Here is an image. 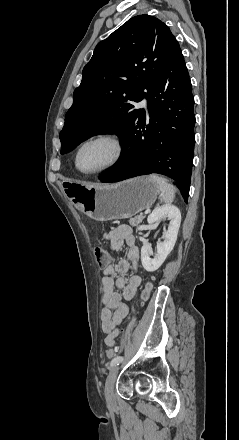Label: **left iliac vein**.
<instances>
[{
  "label": "left iliac vein",
  "mask_w": 239,
  "mask_h": 440,
  "mask_svg": "<svg viewBox=\"0 0 239 440\" xmlns=\"http://www.w3.org/2000/svg\"><path fill=\"white\" fill-rule=\"evenodd\" d=\"M118 366H113L107 376L106 383H105V389L104 394L107 403L114 407L116 405V400L114 396V384L118 375Z\"/></svg>",
  "instance_id": "obj_1"
}]
</instances>
